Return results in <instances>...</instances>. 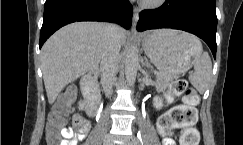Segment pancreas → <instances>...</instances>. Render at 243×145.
<instances>
[{"instance_id": "1", "label": "pancreas", "mask_w": 243, "mask_h": 145, "mask_svg": "<svg viewBox=\"0 0 243 145\" xmlns=\"http://www.w3.org/2000/svg\"><path fill=\"white\" fill-rule=\"evenodd\" d=\"M173 80L172 75L168 74H161L160 76H157V83L159 86L165 87L169 85Z\"/></svg>"}]
</instances>
